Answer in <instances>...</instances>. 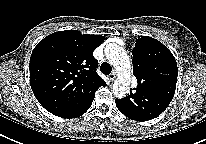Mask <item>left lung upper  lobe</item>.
<instances>
[{
  "instance_id": "1",
  "label": "left lung upper lobe",
  "mask_w": 206,
  "mask_h": 144,
  "mask_svg": "<svg viewBox=\"0 0 206 144\" xmlns=\"http://www.w3.org/2000/svg\"><path fill=\"white\" fill-rule=\"evenodd\" d=\"M133 54V74L138 86L124 98L132 115L141 110V101L160 100L166 108L175 93L178 68L175 57L160 41L139 36Z\"/></svg>"
}]
</instances>
